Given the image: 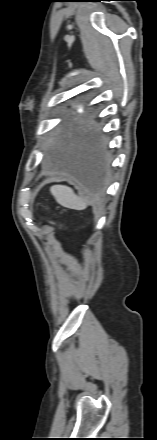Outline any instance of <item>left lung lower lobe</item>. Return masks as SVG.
<instances>
[{"label": "left lung lower lobe", "instance_id": "0a47b994", "mask_svg": "<svg viewBox=\"0 0 157 440\" xmlns=\"http://www.w3.org/2000/svg\"><path fill=\"white\" fill-rule=\"evenodd\" d=\"M107 161L99 140L91 133L78 139L75 150L67 157L63 167L76 174L92 187H98L105 176Z\"/></svg>", "mask_w": 157, "mask_h": 440}]
</instances>
